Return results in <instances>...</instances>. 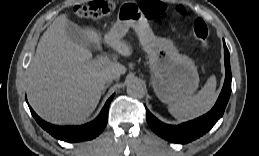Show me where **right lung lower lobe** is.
Returning a JSON list of instances; mask_svg holds the SVG:
<instances>
[{"label": "right lung lower lobe", "instance_id": "obj_1", "mask_svg": "<svg viewBox=\"0 0 259 156\" xmlns=\"http://www.w3.org/2000/svg\"><path fill=\"white\" fill-rule=\"evenodd\" d=\"M114 94L107 100L102 111L98 117L81 126H56L42 120L37 114L30 108V111L37 121V123L53 137L64 140L66 142H78L90 140L98 136L105 128L108 120V109Z\"/></svg>", "mask_w": 259, "mask_h": 156}]
</instances>
